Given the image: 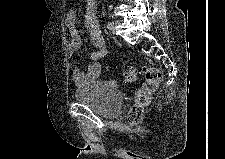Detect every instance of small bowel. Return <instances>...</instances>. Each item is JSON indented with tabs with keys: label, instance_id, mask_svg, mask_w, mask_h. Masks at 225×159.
<instances>
[{
	"label": "small bowel",
	"instance_id": "small-bowel-1",
	"mask_svg": "<svg viewBox=\"0 0 225 159\" xmlns=\"http://www.w3.org/2000/svg\"><path fill=\"white\" fill-rule=\"evenodd\" d=\"M84 26L89 38V44L92 51L89 54L90 62L85 70L74 68L72 70V79L77 85H84L96 80L102 72V66L99 60L105 57L108 49L96 20L95 0H87L84 13ZM66 30L69 37L67 52L73 56L80 47L81 38L76 26L75 12L70 11L66 17Z\"/></svg>",
	"mask_w": 225,
	"mask_h": 159
}]
</instances>
